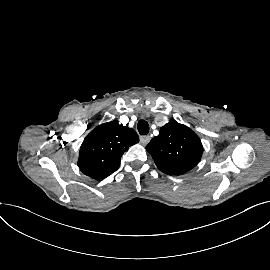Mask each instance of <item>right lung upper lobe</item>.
<instances>
[{
    "mask_svg": "<svg viewBox=\"0 0 270 270\" xmlns=\"http://www.w3.org/2000/svg\"><path fill=\"white\" fill-rule=\"evenodd\" d=\"M138 142L135 130L116 120L101 124L84 139L78 166L85 175L102 180L119 168L123 153Z\"/></svg>",
    "mask_w": 270,
    "mask_h": 270,
    "instance_id": "1",
    "label": "right lung upper lobe"
}]
</instances>
